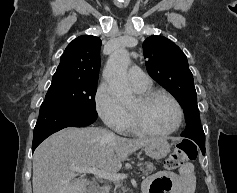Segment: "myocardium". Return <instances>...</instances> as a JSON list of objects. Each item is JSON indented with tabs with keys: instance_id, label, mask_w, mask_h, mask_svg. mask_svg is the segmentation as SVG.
Returning a JSON list of instances; mask_svg holds the SVG:
<instances>
[{
	"instance_id": "1",
	"label": "myocardium",
	"mask_w": 237,
	"mask_h": 193,
	"mask_svg": "<svg viewBox=\"0 0 237 193\" xmlns=\"http://www.w3.org/2000/svg\"><path fill=\"white\" fill-rule=\"evenodd\" d=\"M157 97H165L169 99L175 105L177 109V113H178V119H177L176 124L171 129H168L165 131L151 130L144 127L142 124H140L136 116L134 115V113L129 111L130 124L135 132L146 135V136L163 137V136H167V135L175 133L181 127L184 120V111H183L182 106L178 102V100L170 93L165 92V91H148V92L142 93L139 96V100L142 104H148L149 102H151Z\"/></svg>"
}]
</instances>
